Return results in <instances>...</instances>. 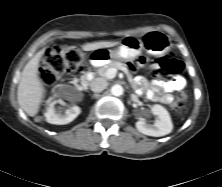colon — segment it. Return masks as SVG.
<instances>
[{"mask_svg": "<svg viewBox=\"0 0 222 187\" xmlns=\"http://www.w3.org/2000/svg\"><path fill=\"white\" fill-rule=\"evenodd\" d=\"M83 63L82 53L74 47L56 46L50 49L41 64L39 75L47 86L54 85L62 76L78 71ZM146 64V63H144ZM155 73L162 78L178 75L182 70V63L168 56L159 58L155 63ZM187 95L181 93L175 100L173 107L184 111Z\"/></svg>", "mask_w": 222, "mask_h": 187, "instance_id": "obj_1", "label": "colon"}]
</instances>
